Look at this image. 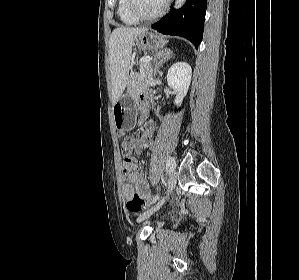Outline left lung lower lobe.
Masks as SVG:
<instances>
[{
  "label": "left lung lower lobe",
  "instance_id": "0a47b994",
  "mask_svg": "<svg viewBox=\"0 0 299 280\" xmlns=\"http://www.w3.org/2000/svg\"><path fill=\"white\" fill-rule=\"evenodd\" d=\"M207 0H187L180 10L171 9L152 28L168 35H178L191 41L196 48L202 41Z\"/></svg>",
  "mask_w": 299,
  "mask_h": 280
}]
</instances>
